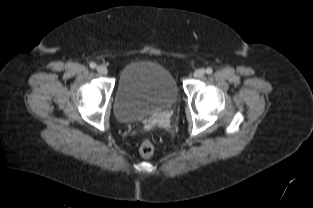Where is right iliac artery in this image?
I'll return each mask as SVG.
<instances>
[{"instance_id": "1", "label": "right iliac artery", "mask_w": 313, "mask_h": 208, "mask_svg": "<svg viewBox=\"0 0 313 208\" xmlns=\"http://www.w3.org/2000/svg\"><path fill=\"white\" fill-rule=\"evenodd\" d=\"M89 66H90V68L94 69V68L96 67V64H95L94 62H91V63L89 64Z\"/></svg>"}]
</instances>
